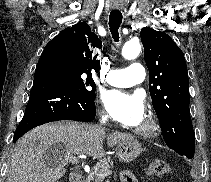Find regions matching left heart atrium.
Returning <instances> with one entry per match:
<instances>
[{"mask_svg": "<svg viewBox=\"0 0 211 182\" xmlns=\"http://www.w3.org/2000/svg\"><path fill=\"white\" fill-rule=\"evenodd\" d=\"M102 101L110 116L125 126H139L145 119L144 101L136 93L109 90L103 94Z\"/></svg>", "mask_w": 211, "mask_h": 182, "instance_id": "obj_1", "label": "left heart atrium"}]
</instances>
